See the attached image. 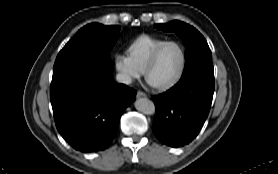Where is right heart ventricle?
Wrapping results in <instances>:
<instances>
[{
	"instance_id": "obj_1",
	"label": "right heart ventricle",
	"mask_w": 278,
	"mask_h": 174,
	"mask_svg": "<svg viewBox=\"0 0 278 174\" xmlns=\"http://www.w3.org/2000/svg\"><path fill=\"white\" fill-rule=\"evenodd\" d=\"M162 43L152 38H141L133 43L129 49L131 63L137 69H143L155 49Z\"/></svg>"
}]
</instances>
